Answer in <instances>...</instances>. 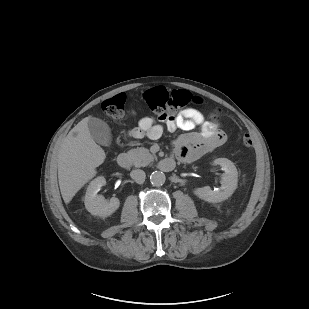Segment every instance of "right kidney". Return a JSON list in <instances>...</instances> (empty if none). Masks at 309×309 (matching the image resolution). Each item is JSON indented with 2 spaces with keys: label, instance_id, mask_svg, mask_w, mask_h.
Segmentation results:
<instances>
[{
  "label": "right kidney",
  "instance_id": "obj_1",
  "mask_svg": "<svg viewBox=\"0 0 309 309\" xmlns=\"http://www.w3.org/2000/svg\"><path fill=\"white\" fill-rule=\"evenodd\" d=\"M106 184V179L99 176L92 180L87 188L84 203L85 207L92 215L107 217L113 214L120 206L118 198L112 197L110 201L105 200L101 195H97L99 189Z\"/></svg>",
  "mask_w": 309,
  "mask_h": 309
}]
</instances>
